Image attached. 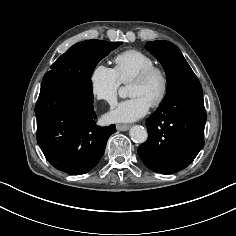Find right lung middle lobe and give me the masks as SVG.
<instances>
[{
  "mask_svg": "<svg viewBox=\"0 0 236 236\" xmlns=\"http://www.w3.org/2000/svg\"><path fill=\"white\" fill-rule=\"evenodd\" d=\"M120 44L103 40L79 42L62 54L51 66L52 70L46 74L60 72L64 75H75L91 83L90 77L98 62Z\"/></svg>",
  "mask_w": 236,
  "mask_h": 236,
  "instance_id": "obj_1",
  "label": "right lung middle lobe"
}]
</instances>
